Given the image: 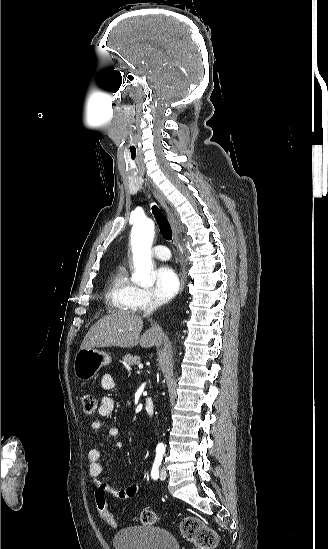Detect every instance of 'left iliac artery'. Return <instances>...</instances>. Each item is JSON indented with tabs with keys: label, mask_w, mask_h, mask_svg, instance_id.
I'll list each match as a JSON object with an SVG mask.
<instances>
[{
	"label": "left iliac artery",
	"mask_w": 328,
	"mask_h": 549,
	"mask_svg": "<svg viewBox=\"0 0 328 549\" xmlns=\"http://www.w3.org/2000/svg\"><path fill=\"white\" fill-rule=\"evenodd\" d=\"M161 462H162V456L157 454L156 457H155L154 463H153L152 470H151V476L155 480L159 478L158 468L161 465Z\"/></svg>",
	"instance_id": "44dca946"
}]
</instances>
